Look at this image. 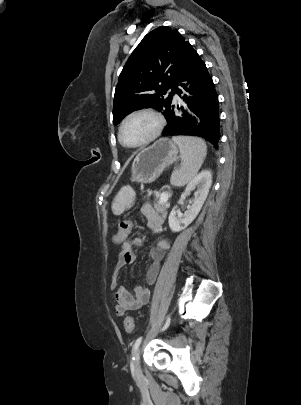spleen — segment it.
<instances>
[{"mask_svg":"<svg viewBox=\"0 0 301 405\" xmlns=\"http://www.w3.org/2000/svg\"><path fill=\"white\" fill-rule=\"evenodd\" d=\"M172 139L180 149L182 162L180 169L172 174L171 184L180 187L190 182L199 171L207 154V146L197 137L174 136ZM133 196L134 192L130 187H123L112 203L113 213H123L129 207Z\"/></svg>","mask_w":301,"mask_h":405,"instance_id":"spleen-1","label":"spleen"}]
</instances>
